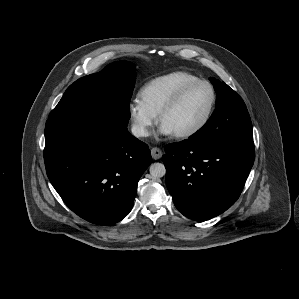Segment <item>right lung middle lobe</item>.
I'll return each mask as SVG.
<instances>
[{
	"label": "right lung middle lobe",
	"mask_w": 299,
	"mask_h": 299,
	"mask_svg": "<svg viewBox=\"0 0 299 299\" xmlns=\"http://www.w3.org/2000/svg\"><path fill=\"white\" fill-rule=\"evenodd\" d=\"M134 68L130 62L118 61L99 73L78 79L67 88L49 119H72L97 109H110L129 119Z\"/></svg>",
	"instance_id": "dd1d6c3e"
}]
</instances>
